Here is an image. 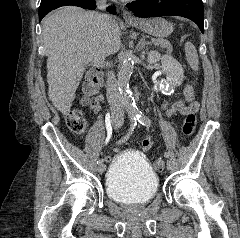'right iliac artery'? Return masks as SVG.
I'll use <instances>...</instances> for the list:
<instances>
[{
	"label": "right iliac artery",
	"instance_id": "82829eb1",
	"mask_svg": "<svg viewBox=\"0 0 240 238\" xmlns=\"http://www.w3.org/2000/svg\"><path fill=\"white\" fill-rule=\"evenodd\" d=\"M130 122H131V124H130V129H129L128 133L121 140L118 141V144L125 142L130 137V135L132 134V131L134 130L135 126L137 125V118L131 117ZM101 163H103V160L99 159L97 161V164H101Z\"/></svg>",
	"mask_w": 240,
	"mask_h": 238
}]
</instances>
